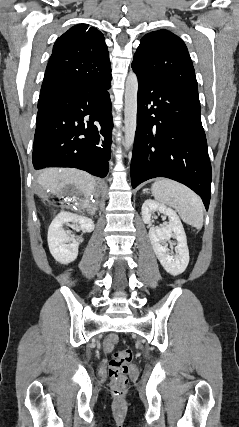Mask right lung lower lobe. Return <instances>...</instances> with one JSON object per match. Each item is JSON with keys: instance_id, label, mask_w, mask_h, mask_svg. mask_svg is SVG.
Instances as JSON below:
<instances>
[{"instance_id": "1", "label": "right lung lower lobe", "mask_w": 239, "mask_h": 427, "mask_svg": "<svg viewBox=\"0 0 239 427\" xmlns=\"http://www.w3.org/2000/svg\"><path fill=\"white\" fill-rule=\"evenodd\" d=\"M112 76L70 84L40 97L32 161L36 169L75 167L105 177L109 170Z\"/></svg>"}]
</instances>
